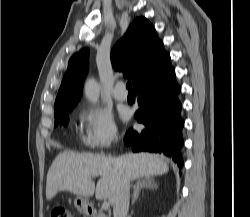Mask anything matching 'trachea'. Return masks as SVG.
Returning <instances> with one entry per match:
<instances>
[{
	"label": "trachea",
	"instance_id": "trachea-1",
	"mask_svg": "<svg viewBox=\"0 0 250 217\" xmlns=\"http://www.w3.org/2000/svg\"><path fill=\"white\" fill-rule=\"evenodd\" d=\"M126 88L128 89L129 92H133V88H132V85H131V81H128V82H127Z\"/></svg>",
	"mask_w": 250,
	"mask_h": 217
}]
</instances>
